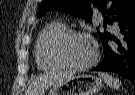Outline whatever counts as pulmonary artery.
Listing matches in <instances>:
<instances>
[{
    "mask_svg": "<svg viewBox=\"0 0 135 95\" xmlns=\"http://www.w3.org/2000/svg\"><path fill=\"white\" fill-rule=\"evenodd\" d=\"M113 29H114L115 31H118V27H117L116 25L113 26Z\"/></svg>",
    "mask_w": 135,
    "mask_h": 95,
    "instance_id": "e3ab8cb5",
    "label": "pulmonary artery"
}]
</instances>
